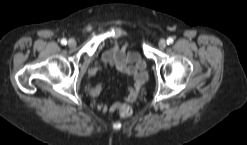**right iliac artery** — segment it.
<instances>
[{"instance_id":"right-iliac-artery-1","label":"right iliac artery","mask_w":247,"mask_h":145,"mask_svg":"<svg viewBox=\"0 0 247 145\" xmlns=\"http://www.w3.org/2000/svg\"><path fill=\"white\" fill-rule=\"evenodd\" d=\"M61 44H62V45H66V44H67V40H66V39H62V40H61Z\"/></svg>"}]
</instances>
